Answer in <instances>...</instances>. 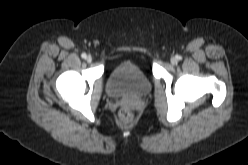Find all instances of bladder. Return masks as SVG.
Segmentation results:
<instances>
[{"label":"bladder","mask_w":248,"mask_h":165,"mask_svg":"<svg viewBox=\"0 0 248 165\" xmlns=\"http://www.w3.org/2000/svg\"><path fill=\"white\" fill-rule=\"evenodd\" d=\"M152 84L144 70L131 61L117 63L109 72L106 91L115 99H142L151 92Z\"/></svg>","instance_id":"bladder-1"}]
</instances>
